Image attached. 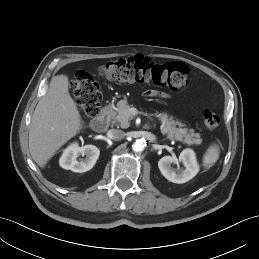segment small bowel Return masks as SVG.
Returning <instances> with one entry per match:
<instances>
[{"instance_id": "c3829d8e", "label": "small bowel", "mask_w": 259, "mask_h": 259, "mask_svg": "<svg viewBox=\"0 0 259 259\" xmlns=\"http://www.w3.org/2000/svg\"><path fill=\"white\" fill-rule=\"evenodd\" d=\"M147 94H148V96H152V97H162V98H164V97L167 96V94H165V93H160V92H156V91H150Z\"/></svg>"}]
</instances>
